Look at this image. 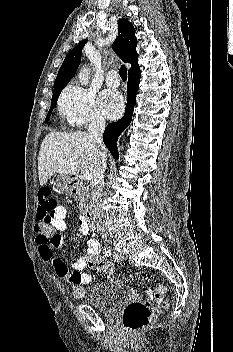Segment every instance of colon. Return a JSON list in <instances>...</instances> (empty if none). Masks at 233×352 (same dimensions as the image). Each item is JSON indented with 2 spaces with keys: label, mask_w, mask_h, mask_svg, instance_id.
I'll return each mask as SVG.
<instances>
[{
  "label": "colon",
  "mask_w": 233,
  "mask_h": 352,
  "mask_svg": "<svg viewBox=\"0 0 233 352\" xmlns=\"http://www.w3.org/2000/svg\"><path fill=\"white\" fill-rule=\"evenodd\" d=\"M37 238L43 241L58 242L61 235L55 232L48 220H38L35 225ZM86 266L91 269L101 271L104 275L110 276L115 271L113 263L99 256V254H89L85 257ZM73 295L77 299H83L87 291L82 283L81 276L75 274L71 277ZM166 287L162 284L154 288L144 289L146 299L143 301H133L122 311V322L126 330L136 332L148 326L161 309L168 307L169 302L164 300Z\"/></svg>",
  "instance_id": "colon-1"
}]
</instances>
